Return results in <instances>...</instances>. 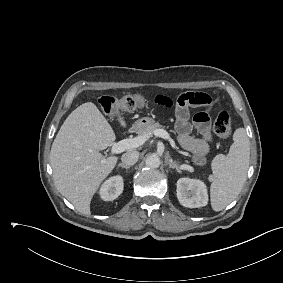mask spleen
<instances>
[{"instance_id":"spleen-1","label":"spleen","mask_w":283,"mask_h":283,"mask_svg":"<svg viewBox=\"0 0 283 283\" xmlns=\"http://www.w3.org/2000/svg\"><path fill=\"white\" fill-rule=\"evenodd\" d=\"M233 140L229 153L219 154L212 161L214 180L210 187V201L214 211H221L230 204L246 180L250 144L245 129H236Z\"/></svg>"}]
</instances>
